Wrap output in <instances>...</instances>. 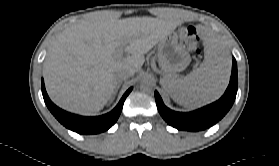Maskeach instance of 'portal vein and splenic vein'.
I'll list each match as a JSON object with an SVG mask.
<instances>
[{"mask_svg": "<svg viewBox=\"0 0 279 166\" xmlns=\"http://www.w3.org/2000/svg\"><path fill=\"white\" fill-rule=\"evenodd\" d=\"M125 43H123L116 51L115 56L117 58H122L123 55V49H124Z\"/></svg>", "mask_w": 279, "mask_h": 166, "instance_id": "1", "label": "portal vein and splenic vein"}]
</instances>
